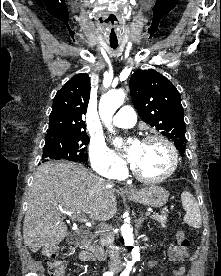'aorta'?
<instances>
[{
    "label": "aorta",
    "mask_w": 221,
    "mask_h": 276,
    "mask_svg": "<svg viewBox=\"0 0 221 276\" xmlns=\"http://www.w3.org/2000/svg\"><path fill=\"white\" fill-rule=\"evenodd\" d=\"M125 93L123 90L109 91L104 96L101 97L99 103V114L104 122L105 126L109 131L113 132L111 126V119L116 110L124 103ZM121 232L127 246H133V229L129 223H124L121 227ZM132 265L135 261L140 259V250L138 247H135L132 250Z\"/></svg>",
    "instance_id": "1"
}]
</instances>
